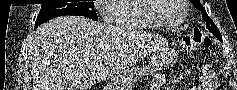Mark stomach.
<instances>
[{
  "label": "stomach",
  "mask_w": 237,
  "mask_h": 90,
  "mask_svg": "<svg viewBox=\"0 0 237 90\" xmlns=\"http://www.w3.org/2000/svg\"><path fill=\"white\" fill-rule=\"evenodd\" d=\"M174 63V55L167 52L161 56H155L147 66L125 70L115 77L106 86V90H132L137 80L149 73L168 68Z\"/></svg>",
  "instance_id": "1"
}]
</instances>
